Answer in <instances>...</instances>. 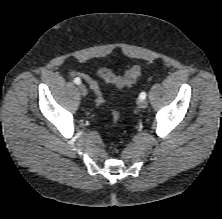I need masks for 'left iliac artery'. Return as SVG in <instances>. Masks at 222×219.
<instances>
[{"label": "left iliac artery", "instance_id": "1", "mask_svg": "<svg viewBox=\"0 0 222 219\" xmlns=\"http://www.w3.org/2000/svg\"><path fill=\"white\" fill-rule=\"evenodd\" d=\"M139 98H140V99H145V98H146V93H145V92H142V93L139 95Z\"/></svg>", "mask_w": 222, "mask_h": 219}]
</instances>
